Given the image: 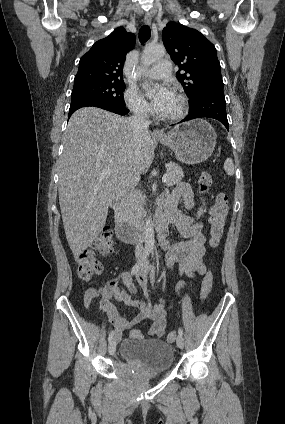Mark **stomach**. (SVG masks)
I'll list each match as a JSON object with an SVG mask.
<instances>
[{
	"label": "stomach",
	"mask_w": 285,
	"mask_h": 424,
	"mask_svg": "<svg viewBox=\"0 0 285 424\" xmlns=\"http://www.w3.org/2000/svg\"><path fill=\"white\" fill-rule=\"evenodd\" d=\"M216 139L213 127L205 120L196 119L176 126L157 140L169 147L178 161L198 164L211 156Z\"/></svg>",
	"instance_id": "1"
}]
</instances>
